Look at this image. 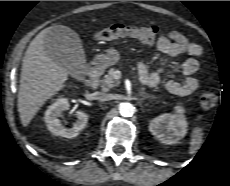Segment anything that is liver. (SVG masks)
Instances as JSON below:
<instances>
[{
	"label": "liver",
	"mask_w": 230,
	"mask_h": 186,
	"mask_svg": "<svg viewBox=\"0 0 230 186\" xmlns=\"http://www.w3.org/2000/svg\"><path fill=\"white\" fill-rule=\"evenodd\" d=\"M58 26V25H57ZM42 30L29 44L23 58L18 92V112L27 127L43 104L65 87L68 72L47 54Z\"/></svg>",
	"instance_id": "6515ba94"
}]
</instances>
